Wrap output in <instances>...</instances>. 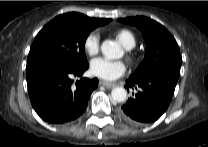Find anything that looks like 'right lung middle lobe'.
Masks as SVG:
<instances>
[{"label": "right lung middle lobe", "mask_w": 208, "mask_h": 147, "mask_svg": "<svg viewBox=\"0 0 208 147\" xmlns=\"http://www.w3.org/2000/svg\"><path fill=\"white\" fill-rule=\"evenodd\" d=\"M99 25L74 18L56 17L35 37L27 59V67L49 61L70 65L87 66L85 41L92 30Z\"/></svg>", "instance_id": "1"}]
</instances>
